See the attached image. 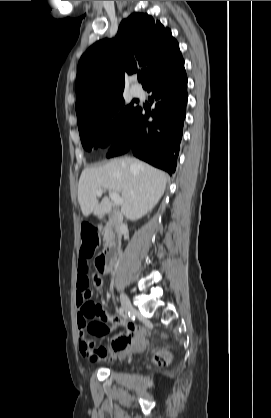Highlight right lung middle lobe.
<instances>
[{"instance_id":"obj_1","label":"right lung middle lobe","mask_w":271,"mask_h":418,"mask_svg":"<svg viewBox=\"0 0 271 418\" xmlns=\"http://www.w3.org/2000/svg\"><path fill=\"white\" fill-rule=\"evenodd\" d=\"M123 95L117 96L77 117L82 145L85 150L105 147L111 131L117 132L124 127L139 109L133 103L124 106ZM121 109V110H120ZM114 120L112 116L119 111Z\"/></svg>"}]
</instances>
